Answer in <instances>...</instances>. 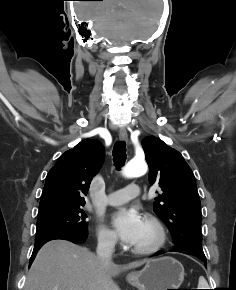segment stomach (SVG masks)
<instances>
[{
  "label": "stomach",
  "mask_w": 236,
  "mask_h": 290,
  "mask_svg": "<svg viewBox=\"0 0 236 290\" xmlns=\"http://www.w3.org/2000/svg\"><path fill=\"white\" fill-rule=\"evenodd\" d=\"M183 280V265L169 256L148 260L142 270L127 275V281L138 290L179 289Z\"/></svg>",
  "instance_id": "stomach-1"
}]
</instances>
